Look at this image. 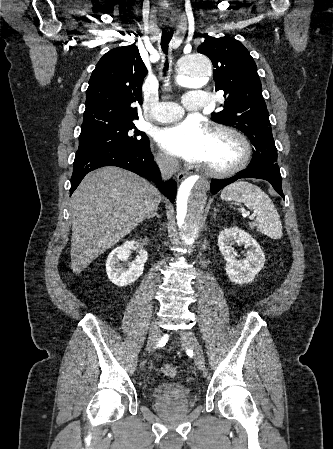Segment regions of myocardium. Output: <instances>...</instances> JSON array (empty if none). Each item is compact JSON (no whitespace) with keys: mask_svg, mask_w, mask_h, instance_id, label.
Masks as SVG:
<instances>
[{"mask_svg":"<svg viewBox=\"0 0 333 449\" xmlns=\"http://www.w3.org/2000/svg\"><path fill=\"white\" fill-rule=\"evenodd\" d=\"M210 134L214 136H223L234 141L239 148V156L233 164L222 168H215L203 164L202 168L208 175L214 178H227L238 173L248 165L252 156V148L245 135L235 129L225 126L213 127L210 130Z\"/></svg>","mask_w":333,"mask_h":449,"instance_id":"myocardium-1","label":"myocardium"}]
</instances>
